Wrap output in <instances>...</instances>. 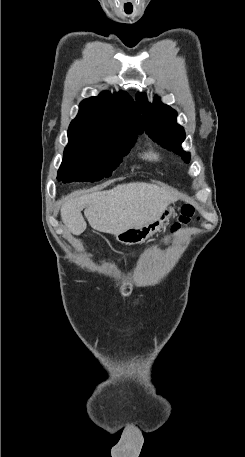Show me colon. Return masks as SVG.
Returning <instances> with one entry per match:
<instances>
[{
  "mask_svg": "<svg viewBox=\"0 0 245 457\" xmlns=\"http://www.w3.org/2000/svg\"><path fill=\"white\" fill-rule=\"evenodd\" d=\"M195 208L191 204H185L181 208V214L176 223L172 226V232L175 233L181 229L182 226L189 224L195 219Z\"/></svg>",
  "mask_w": 245,
  "mask_h": 457,
  "instance_id": "5ec220e1",
  "label": "colon"
}]
</instances>
